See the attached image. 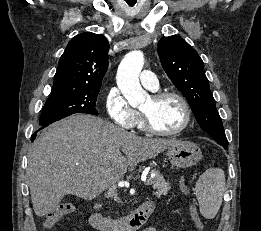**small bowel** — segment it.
Returning <instances> with one entry per match:
<instances>
[{
  "instance_id": "small-bowel-1",
  "label": "small bowel",
  "mask_w": 261,
  "mask_h": 231,
  "mask_svg": "<svg viewBox=\"0 0 261 231\" xmlns=\"http://www.w3.org/2000/svg\"><path fill=\"white\" fill-rule=\"evenodd\" d=\"M182 190V192L184 193V194H187L188 193V190H187V188H182L181 189ZM153 203V202H152ZM143 231H156L154 228H146V229H144Z\"/></svg>"
}]
</instances>
